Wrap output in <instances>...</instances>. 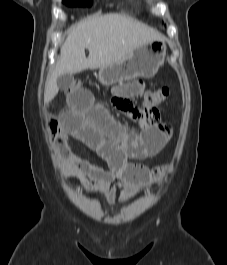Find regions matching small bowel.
Returning a JSON list of instances; mask_svg holds the SVG:
<instances>
[{"instance_id":"c3829d8e","label":"small bowel","mask_w":227,"mask_h":265,"mask_svg":"<svg viewBox=\"0 0 227 265\" xmlns=\"http://www.w3.org/2000/svg\"><path fill=\"white\" fill-rule=\"evenodd\" d=\"M115 95L138 94L143 81H122ZM65 104L70 109L62 114L60 140L67 173L76 178L86 191L110 204H125L155 177L141 163L156 156L168 143L172 130L166 124L148 127L141 132L129 131L114 119L86 87H67ZM117 112H141L132 99H112ZM129 115V114H128ZM73 137L100 156L109 166L103 169L74 153L68 146Z\"/></svg>"}]
</instances>
